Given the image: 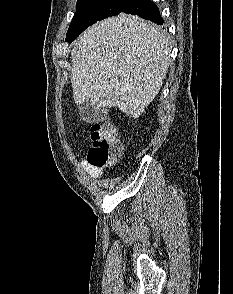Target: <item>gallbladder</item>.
Segmentation results:
<instances>
[{"label": "gallbladder", "instance_id": "1", "mask_svg": "<svg viewBox=\"0 0 233 294\" xmlns=\"http://www.w3.org/2000/svg\"><path fill=\"white\" fill-rule=\"evenodd\" d=\"M79 112L81 117L88 122L98 120L96 108L90 100H86L80 105Z\"/></svg>", "mask_w": 233, "mask_h": 294}]
</instances>
